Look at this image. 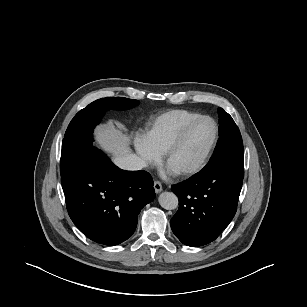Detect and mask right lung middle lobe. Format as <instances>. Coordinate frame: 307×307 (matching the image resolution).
<instances>
[{
    "instance_id": "right-lung-middle-lobe-1",
    "label": "right lung middle lobe",
    "mask_w": 307,
    "mask_h": 307,
    "mask_svg": "<svg viewBox=\"0 0 307 307\" xmlns=\"http://www.w3.org/2000/svg\"><path fill=\"white\" fill-rule=\"evenodd\" d=\"M138 104L137 100L124 97L98 99L79 111L70 122L62 142L60 159L61 177L68 174L94 148L92 133L101 118L110 109H128Z\"/></svg>"
}]
</instances>
